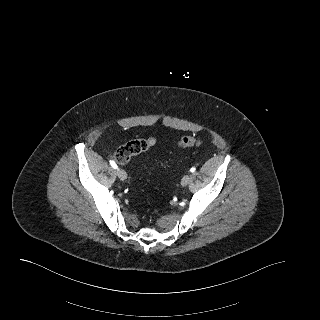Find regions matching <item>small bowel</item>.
Segmentation results:
<instances>
[{
    "label": "small bowel",
    "mask_w": 320,
    "mask_h": 320,
    "mask_svg": "<svg viewBox=\"0 0 320 320\" xmlns=\"http://www.w3.org/2000/svg\"><path fill=\"white\" fill-rule=\"evenodd\" d=\"M146 141L150 144V146L154 145L156 142V139L154 137H150L146 139Z\"/></svg>",
    "instance_id": "c3829d8e"
}]
</instances>
